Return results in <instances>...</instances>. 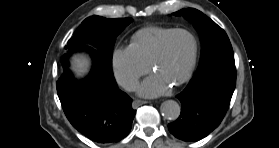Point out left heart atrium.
Segmentation results:
<instances>
[{"mask_svg": "<svg viewBox=\"0 0 279 148\" xmlns=\"http://www.w3.org/2000/svg\"><path fill=\"white\" fill-rule=\"evenodd\" d=\"M171 83L156 74H152L138 87V91L145 97H158L169 92Z\"/></svg>", "mask_w": 279, "mask_h": 148, "instance_id": "obj_1", "label": "left heart atrium"}]
</instances>
